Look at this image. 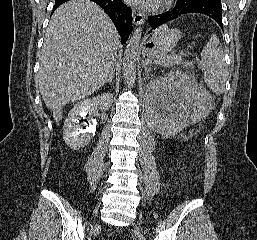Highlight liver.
<instances>
[{"label":"liver","instance_id":"liver-1","mask_svg":"<svg viewBox=\"0 0 257 240\" xmlns=\"http://www.w3.org/2000/svg\"><path fill=\"white\" fill-rule=\"evenodd\" d=\"M120 41L108 15L90 0H70L53 13L40 54L39 89L60 117L62 108L97 91L108 79Z\"/></svg>","mask_w":257,"mask_h":240}]
</instances>
